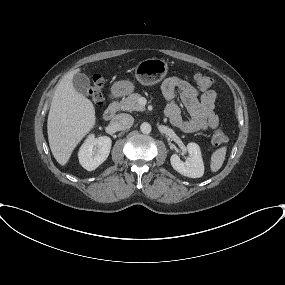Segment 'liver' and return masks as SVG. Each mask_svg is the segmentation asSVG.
I'll return each mask as SVG.
<instances>
[{
  "instance_id": "obj_1",
  "label": "liver",
  "mask_w": 285,
  "mask_h": 285,
  "mask_svg": "<svg viewBox=\"0 0 285 285\" xmlns=\"http://www.w3.org/2000/svg\"><path fill=\"white\" fill-rule=\"evenodd\" d=\"M79 71L68 72L57 85L47 120L50 149L62 166L68 163L74 148L96 121L92 102L73 86V77Z\"/></svg>"
}]
</instances>
